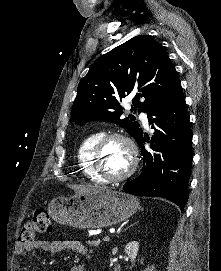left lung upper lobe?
<instances>
[{
  "mask_svg": "<svg viewBox=\"0 0 221 271\" xmlns=\"http://www.w3.org/2000/svg\"><path fill=\"white\" fill-rule=\"evenodd\" d=\"M179 84L175 68L161 45L148 36H136L105 54L90 68L78 85L71 119L77 124L113 122L136 140L142 129L132 115L120 118L123 108L119 101L134 96V108L149 115ZM141 98L143 102H139Z\"/></svg>",
  "mask_w": 221,
  "mask_h": 271,
  "instance_id": "left-lung-upper-lobe-1",
  "label": "left lung upper lobe"
}]
</instances>
